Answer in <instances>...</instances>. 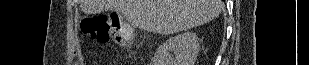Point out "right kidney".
<instances>
[{
	"label": "right kidney",
	"instance_id": "right-kidney-1",
	"mask_svg": "<svg viewBox=\"0 0 309 65\" xmlns=\"http://www.w3.org/2000/svg\"><path fill=\"white\" fill-rule=\"evenodd\" d=\"M199 48V39L194 32H184L170 37L157 49L153 65H194ZM175 57H171V53Z\"/></svg>",
	"mask_w": 309,
	"mask_h": 65
}]
</instances>
